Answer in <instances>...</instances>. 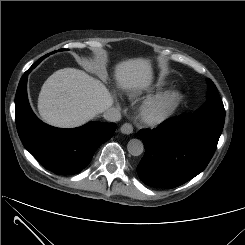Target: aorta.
<instances>
[{
	"label": "aorta",
	"instance_id": "aorta-1",
	"mask_svg": "<svg viewBox=\"0 0 245 245\" xmlns=\"http://www.w3.org/2000/svg\"><path fill=\"white\" fill-rule=\"evenodd\" d=\"M127 150L132 156H140L144 151V144L139 139H131L127 144Z\"/></svg>",
	"mask_w": 245,
	"mask_h": 245
}]
</instances>
